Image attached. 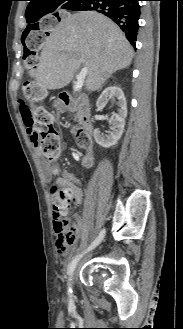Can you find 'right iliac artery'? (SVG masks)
Returning a JSON list of instances; mask_svg holds the SVG:
<instances>
[{
    "label": "right iliac artery",
    "mask_w": 183,
    "mask_h": 329,
    "mask_svg": "<svg viewBox=\"0 0 183 329\" xmlns=\"http://www.w3.org/2000/svg\"><path fill=\"white\" fill-rule=\"evenodd\" d=\"M104 236H105V229H103L101 232H100V234H99V236L92 242V244L84 251V253H86L87 251H90V250H92L94 247H96L101 241H102V239L104 238ZM84 253H82V254H80V255H77L75 258H73V260L71 261V263H70V265H69V271H68V274H69V276H70V279H71V276H72V274H73V271H74V269H75V267H76V265H77V263H78V261L80 260V258L83 256V254ZM68 295H69V306H70V308H72L73 307V300H72V289H71V287H70V285H69V287H68Z\"/></svg>",
    "instance_id": "1"
}]
</instances>
